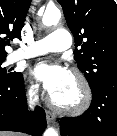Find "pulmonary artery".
I'll return each mask as SVG.
<instances>
[{
    "mask_svg": "<svg viewBox=\"0 0 117 136\" xmlns=\"http://www.w3.org/2000/svg\"><path fill=\"white\" fill-rule=\"evenodd\" d=\"M71 44V34L65 29H56L47 37L15 51L12 54V60L35 57L50 52H61L68 49Z\"/></svg>",
    "mask_w": 117,
    "mask_h": 136,
    "instance_id": "1",
    "label": "pulmonary artery"
}]
</instances>
